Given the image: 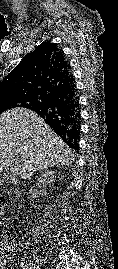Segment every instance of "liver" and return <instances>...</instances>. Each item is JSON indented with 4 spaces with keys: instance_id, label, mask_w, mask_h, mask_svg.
<instances>
[{
    "instance_id": "liver-1",
    "label": "liver",
    "mask_w": 118,
    "mask_h": 269,
    "mask_svg": "<svg viewBox=\"0 0 118 269\" xmlns=\"http://www.w3.org/2000/svg\"><path fill=\"white\" fill-rule=\"evenodd\" d=\"M73 160L72 150L35 112L14 108L0 115V172L12 165L16 174L28 178Z\"/></svg>"
}]
</instances>
